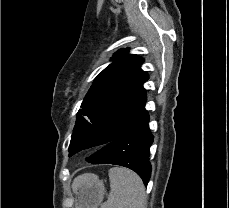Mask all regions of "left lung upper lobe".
Here are the masks:
<instances>
[{
	"label": "left lung upper lobe",
	"instance_id": "obj_1",
	"mask_svg": "<svg viewBox=\"0 0 229 208\" xmlns=\"http://www.w3.org/2000/svg\"><path fill=\"white\" fill-rule=\"evenodd\" d=\"M128 50L117 51L95 78L78 111L69 151L100 131L127 128L147 113L143 84L149 76L140 68L144 60Z\"/></svg>",
	"mask_w": 229,
	"mask_h": 208
}]
</instances>
